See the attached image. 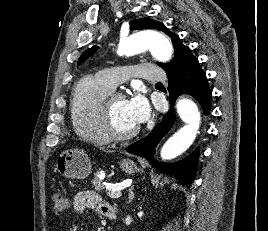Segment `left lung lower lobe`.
<instances>
[{
    "label": "left lung lower lobe",
    "instance_id": "1",
    "mask_svg": "<svg viewBox=\"0 0 268 231\" xmlns=\"http://www.w3.org/2000/svg\"><path fill=\"white\" fill-rule=\"evenodd\" d=\"M167 76L169 78L170 110L164 115L161 123L157 124L147 137L128 146L126 151L145 157L159 172L172 174L182 185H186L192 183L195 179L199 149L197 148L181 161L159 163L153 159L155 147L175 122L174 104L179 95L189 94L194 97L201 105L204 114L208 115L211 108L212 93L208 86L206 74L195 57L190 58L182 68L167 73Z\"/></svg>",
    "mask_w": 268,
    "mask_h": 231
}]
</instances>
